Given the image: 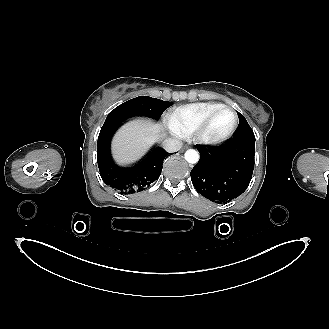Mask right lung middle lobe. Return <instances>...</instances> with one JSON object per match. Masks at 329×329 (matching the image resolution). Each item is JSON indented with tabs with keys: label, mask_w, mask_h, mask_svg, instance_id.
Wrapping results in <instances>:
<instances>
[{
	"label": "right lung middle lobe",
	"mask_w": 329,
	"mask_h": 329,
	"mask_svg": "<svg viewBox=\"0 0 329 329\" xmlns=\"http://www.w3.org/2000/svg\"><path fill=\"white\" fill-rule=\"evenodd\" d=\"M171 106L170 102L162 101L148 96L133 98L115 109L107 116L106 121H124L133 116H148L159 119L166 108Z\"/></svg>",
	"instance_id": "dd1d6c3e"
}]
</instances>
